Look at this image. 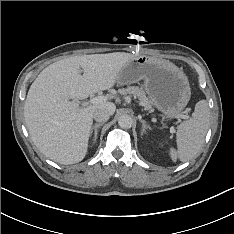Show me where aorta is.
I'll use <instances>...</instances> for the list:
<instances>
[{
  "label": "aorta",
  "instance_id": "obj_1",
  "mask_svg": "<svg viewBox=\"0 0 234 234\" xmlns=\"http://www.w3.org/2000/svg\"><path fill=\"white\" fill-rule=\"evenodd\" d=\"M132 124H133V119L128 114H123L118 119V125L121 128H124V129L131 128Z\"/></svg>",
  "mask_w": 234,
  "mask_h": 234
}]
</instances>
